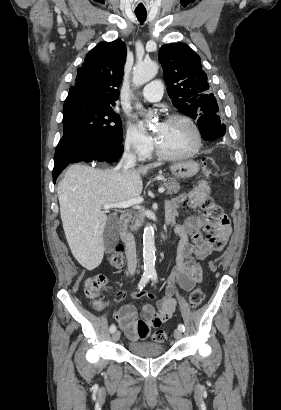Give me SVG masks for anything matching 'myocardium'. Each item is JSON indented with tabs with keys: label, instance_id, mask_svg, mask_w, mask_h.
Instances as JSON below:
<instances>
[{
	"label": "myocardium",
	"instance_id": "obj_1",
	"mask_svg": "<svg viewBox=\"0 0 281 410\" xmlns=\"http://www.w3.org/2000/svg\"><path fill=\"white\" fill-rule=\"evenodd\" d=\"M175 120H181L186 122L194 131L195 134V146L192 150H190L189 152L186 153H182V154H171L166 152L164 149H162V147L159 145V143L157 142V140L155 139L154 141V146H155V151L158 154V156H160L163 159L166 160H180V159H187L190 157H193L194 155H196L201 147H202V133L201 130L199 128V126L197 125V123L189 116L185 115V114H181V113H174L169 115L165 121H175Z\"/></svg>",
	"mask_w": 281,
	"mask_h": 410
}]
</instances>
